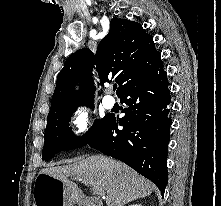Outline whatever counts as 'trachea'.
Returning a JSON list of instances; mask_svg holds the SVG:
<instances>
[{
  "label": "trachea",
  "instance_id": "3493384b",
  "mask_svg": "<svg viewBox=\"0 0 221 206\" xmlns=\"http://www.w3.org/2000/svg\"><path fill=\"white\" fill-rule=\"evenodd\" d=\"M116 89H117V85L114 84V85H113V90L115 91Z\"/></svg>",
  "mask_w": 221,
  "mask_h": 206
}]
</instances>
